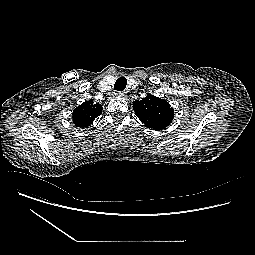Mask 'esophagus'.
I'll use <instances>...</instances> for the list:
<instances>
[{
	"mask_svg": "<svg viewBox=\"0 0 255 255\" xmlns=\"http://www.w3.org/2000/svg\"><path fill=\"white\" fill-rule=\"evenodd\" d=\"M115 95H116L117 97L123 98L125 94H124V92L117 91V92H115Z\"/></svg>",
	"mask_w": 255,
	"mask_h": 255,
	"instance_id": "1",
	"label": "esophagus"
}]
</instances>
